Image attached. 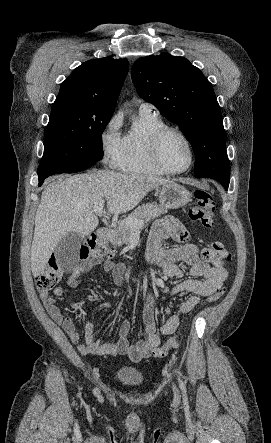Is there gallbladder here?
<instances>
[{"instance_id": "1", "label": "gallbladder", "mask_w": 271, "mask_h": 443, "mask_svg": "<svg viewBox=\"0 0 271 443\" xmlns=\"http://www.w3.org/2000/svg\"><path fill=\"white\" fill-rule=\"evenodd\" d=\"M82 241L83 237L78 235L76 231H70L60 239L55 247L56 257L60 261V273H73L74 269L81 268V252L78 249H80Z\"/></svg>"}]
</instances>
